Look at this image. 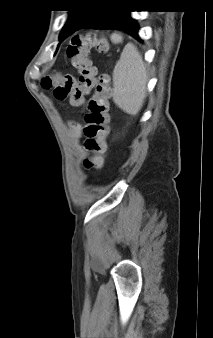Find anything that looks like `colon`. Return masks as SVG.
Returning <instances> with one entry per match:
<instances>
[{
  "label": "colon",
  "instance_id": "5ec220e1",
  "mask_svg": "<svg viewBox=\"0 0 213 338\" xmlns=\"http://www.w3.org/2000/svg\"><path fill=\"white\" fill-rule=\"evenodd\" d=\"M92 49L107 53L109 43L104 36L94 33L74 36L66 53L72 68L79 74L78 80L70 74H53L47 77L42 85L45 89H54V96L58 100L69 97L71 105L75 107L80 106L84 95L92 91L83 126L85 147L92 155L85 160V166L99 169L104 165L102 154L110 135L111 87L106 75L97 77V69L90 60Z\"/></svg>",
  "mask_w": 213,
  "mask_h": 338
}]
</instances>
